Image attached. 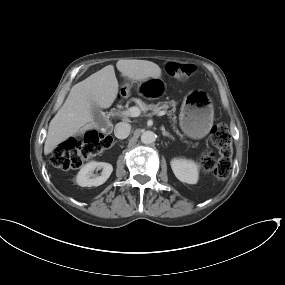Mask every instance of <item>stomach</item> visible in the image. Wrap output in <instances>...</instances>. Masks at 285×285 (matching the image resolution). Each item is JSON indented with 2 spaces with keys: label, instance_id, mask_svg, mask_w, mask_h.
<instances>
[{
  "label": "stomach",
  "instance_id": "obj_1",
  "mask_svg": "<svg viewBox=\"0 0 285 285\" xmlns=\"http://www.w3.org/2000/svg\"><path fill=\"white\" fill-rule=\"evenodd\" d=\"M160 79H149L143 82L141 94L146 95L145 87ZM214 118L213 105L202 92L188 94L181 106L180 127L182 131L193 139L205 137L212 128Z\"/></svg>",
  "mask_w": 285,
  "mask_h": 285
}]
</instances>
